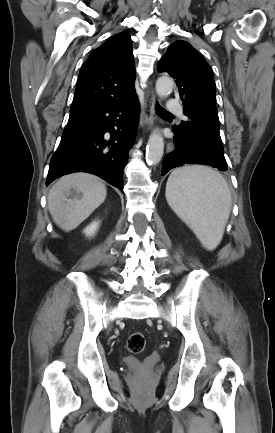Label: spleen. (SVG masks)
Listing matches in <instances>:
<instances>
[{
    "label": "spleen",
    "mask_w": 275,
    "mask_h": 433,
    "mask_svg": "<svg viewBox=\"0 0 275 433\" xmlns=\"http://www.w3.org/2000/svg\"><path fill=\"white\" fill-rule=\"evenodd\" d=\"M166 199L206 249L218 246L231 209V193L219 172L203 165L175 169L166 184Z\"/></svg>",
    "instance_id": "1"
}]
</instances>
